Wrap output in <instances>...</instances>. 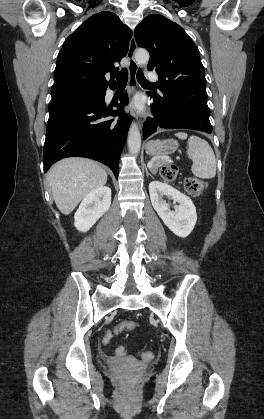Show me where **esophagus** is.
<instances>
[{"label":"esophagus","mask_w":264,"mask_h":419,"mask_svg":"<svg viewBox=\"0 0 264 419\" xmlns=\"http://www.w3.org/2000/svg\"><path fill=\"white\" fill-rule=\"evenodd\" d=\"M137 49V43L135 40L134 35L132 36L129 44V50H128V74H129V81H128V87L131 91H134L137 88V81H136V74L138 70V64L135 60V52ZM133 116L135 117V120L137 121L139 127L141 128L143 125V117L137 113L133 112Z\"/></svg>","instance_id":"1"}]
</instances>
